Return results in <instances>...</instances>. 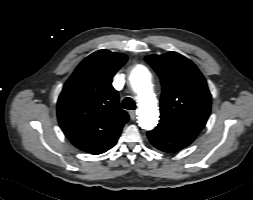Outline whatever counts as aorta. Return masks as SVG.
<instances>
[{"instance_id": "aorta-1", "label": "aorta", "mask_w": 253, "mask_h": 200, "mask_svg": "<svg viewBox=\"0 0 253 200\" xmlns=\"http://www.w3.org/2000/svg\"><path fill=\"white\" fill-rule=\"evenodd\" d=\"M133 90L138 95V123L142 129L152 130L158 123L157 99L152 91L151 74L147 68L137 66L130 75Z\"/></svg>"}]
</instances>
